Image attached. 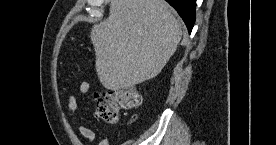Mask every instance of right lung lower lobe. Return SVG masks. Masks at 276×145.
<instances>
[{
  "label": "right lung lower lobe",
  "mask_w": 276,
  "mask_h": 145,
  "mask_svg": "<svg viewBox=\"0 0 276 145\" xmlns=\"http://www.w3.org/2000/svg\"><path fill=\"white\" fill-rule=\"evenodd\" d=\"M172 7L176 9L185 22L189 33H191L195 23V7L196 0H166Z\"/></svg>",
  "instance_id": "right-lung-lower-lobe-1"
}]
</instances>
